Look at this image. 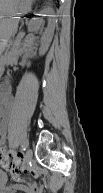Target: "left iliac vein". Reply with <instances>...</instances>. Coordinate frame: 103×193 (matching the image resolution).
<instances>
[{"label": "left iliac vein", "instance_id": "4c4485c4", "mask_svg": "<svg viewBox=\"0 0 103 193\" xmlns=\"http://www.w3.org/2000/svg\"><path fill=\"white\" fill-rule=\"evenodd\" d=\"M32 156H33L32 149H28L24 156L25 162L29 163L32 160Z\"/></svg>", "mask_w": 103, "mask_h": 193}]
</instances>
